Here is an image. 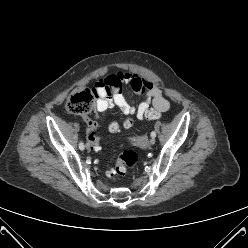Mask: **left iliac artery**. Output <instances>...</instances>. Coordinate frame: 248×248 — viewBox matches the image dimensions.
<instances>
[{"mask_svg": "<svg viewBox=\"0 0 248 248\" xmlns=\"http://www.w3.org/2000/svg\"><path fill=\"white\" fill-rule=\"evenodd\" d=\"M151 137H152V138H155V137H156V132H155V131H152V132H151Z\"/></svg>", "mask_w": 248, "mask_h": 248, "instance_id": "obj_1", "label": "left iliac artery"}]
</instances>
